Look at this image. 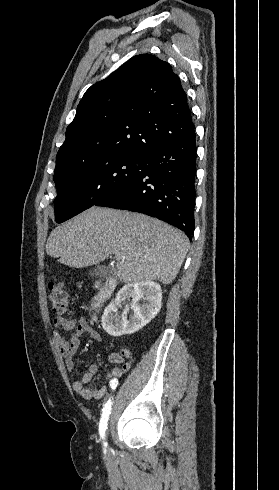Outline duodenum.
Here are the masks:
<instances>
[{
	"label": "duodenum",
	"instance_id": "410a0bca",
	"mask_svg": "<svg viewBox=\"0 0 279 490\" xmlns=\"http://www.w3.org/2000/svg\"><path fill=\"white\" fill-rule=\"evenodd\" d=\"M116 288V280L113 278H109L105 280L102 284L99 292L94 297L93 302L91 304V308L93 310H99L101 306L112 296L114 290Z\"/></svg>",
	"mask_w": 279,
	"mask_h": 490
}]
</instances>
